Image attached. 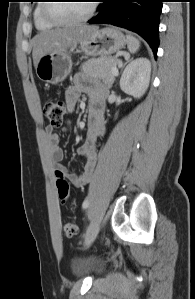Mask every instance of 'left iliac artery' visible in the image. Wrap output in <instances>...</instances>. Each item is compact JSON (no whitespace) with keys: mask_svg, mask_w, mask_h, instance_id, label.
<instances>
[{"mask_svg":"<svg viewBox=\"0 0 195 299\" xmlns=\"http://www.w3.org/2000/svg\"><path fill=\"white\" fill-rule=\"evenodd\" d=\"M89 206V201L85 200L82 204L83 209H86ZM88 231V230H87Z\"/></svg>","mask_w":195,"mask_h":299,"instance_id":"left-iliac-artery-1","label":"left iliac artery"}]
</instances>
